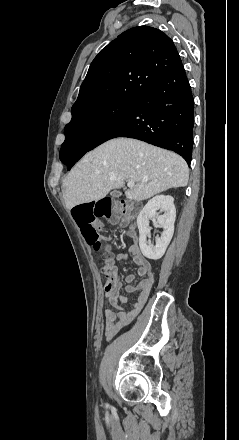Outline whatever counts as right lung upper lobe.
<instances>
[{
  "mask_svg": "<svg viewBox=\"0 0 239 440\" xmlns=\"http://www.w3.org/2000/svg\"><path fill=\"white\" fill-rule=\"evenodd\" d=\"M162 31L138 26L120 34L92 61L72 115L119 96L138 98L180 61Z\"/></svg>",
  "mask_w": 239,
  "mask_h": 440,
  "instance_id": "1",
  "label": "right lung upper lobe"
}]
</instances>
